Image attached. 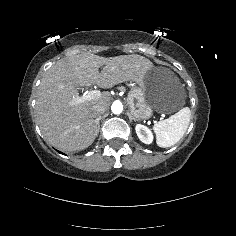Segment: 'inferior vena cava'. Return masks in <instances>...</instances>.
Instances as JSON below:
<instances>
[{"mask_svg":"<svg viewBox=\"0 0 236 236\" xmlns=\"http://www.w3.org/2000/svg\"><path fill=\"white\" fill-rule=\"evenodd\" d=\"M105 112V107L101 105H94L93 106V114L96 122H98L99 118Z\"/></svg>","mask_w":236,"mask_h":236,"instance_id":"1","label":"inferior vena cava"}]
</instances>
